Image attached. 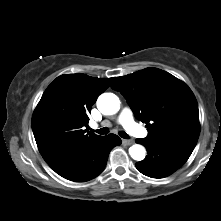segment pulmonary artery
Returning <instances> with one entry per match:
<instances>
[{"label":"pulmonary artery","instance_id":"pulmonary-artery-1","mask_svg":"<svg viewBox=\"0 0 221 221\" xmlns=\"http://www.w3.org/2000/svg\"><path fill=\"white\" fill-rule=\"evenodd\" d=\"M118 122L134 137L143 138L147 135V131L134 121L132 112L128 108L122 110Z\"/></svg>","mask_w":221,"mask_h":221}]
</instances>
